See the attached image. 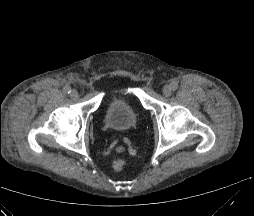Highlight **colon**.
I'll return each mask as SVG.
<instances>
[{
    "label": "colon",
    "instance_id": "5ec220e1",
    "mask_svg": "<svg viewBox=\"0 0 254 216\" xmlns=\"http://www.w3.org/2000/svg\"><path fill=\"white\" fill-rule=\"evenodd\" d=\"M124 167V161L121 158H115L112 161V169L114 171H121Z\"/></svg>",
    "mask_w": 254,
    "mask_h": 216
}]
</instances>
